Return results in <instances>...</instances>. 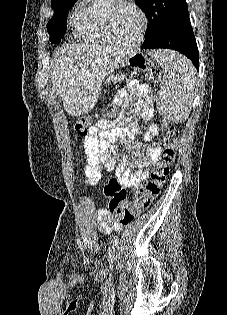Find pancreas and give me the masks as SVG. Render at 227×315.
Masks as SVG:
<instances>
[{"mask_svg": "<svg viewBox=\"0 0 227 315\" xmlns=\"http://www.w3.org/2000/svg\"><path fill=\"white\" fill-rule=\"evenodd\" d=\"M124 78H125V75L123 74V75H120V76L111 77V80H112V82L116 83V82L122 81Z\"/></svg>", "mask_w": 227, "mask_h": 315, "instance_id": "cf45deb5", "label": "pancreas"}]
</instances>
